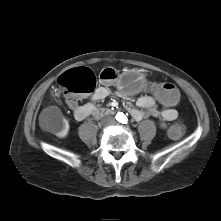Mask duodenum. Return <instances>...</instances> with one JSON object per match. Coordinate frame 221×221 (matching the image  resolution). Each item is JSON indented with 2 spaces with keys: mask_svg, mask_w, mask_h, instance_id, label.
Wrapping results in <instances>:
<instances>
[{
  "mask_svg": "<svg viewBox=\"0 0 221 221\" xmlns=\"http://www.w3.org/2000/svg\"><path fill=\"white\" fill-rule=\"evenodd\" d=\"M110 113H111V110L109 109H99L98 111L95 112L94 116L96 118H99L100 116L110 114Z\"/></svg>",
  "mask_w": 221,
  "mask_h": 221,
  "instance_id": "obj_1",
  "label": "duodenum"
}]
</instances>
